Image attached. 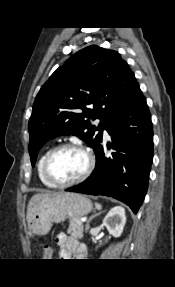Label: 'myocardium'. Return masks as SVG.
I'll return each mask as SVG.
<instances>
[{"label": "myocardium", "instance_id": "1", "mask_svg": "<svg viewBox=\"0 0 175 287\" xmlns=\"http://www.w3.org/2000/svg\"><path fill=\"white\" fill-rule=\"evenodd\" d=\"M66 148H73V149L82 151L87 157V166L84 172L79 177L73 180H70V181H66V182H58L52 178L50 171H49V165L54 155L60 150H63ZM94 167H95V157L93 153L91 152V150H89L87 147L79 143L66 142V143H62V144L55 146L48 152L43 163V176L45 180L53 187H56V188L69 187V186L79 184L83 182L84 180H86L92 173Z\"/></svg>", "mask_w": 175, "mask_h": 287}]
</instances>
